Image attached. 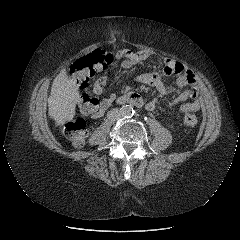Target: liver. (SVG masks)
Returning <instances> with one entry per match:
<instances>
[{
    "label": "liver",
    "instance_id": "liver-1",
    "mask_svg": "<svg viewBox=\"0 0 240 240\" xmlns=\"http://www.w3.org/2000/svg\"><path fill=\"white\" fill-rule=\"evenodd\" d=\"M79 96L75 81L67 76L65 69H62L53 81L48 98V113L57 126L74 118Z\"/></svg>",
    "mask_w": 240,
    "mask_h": 240
}]
</instances>
